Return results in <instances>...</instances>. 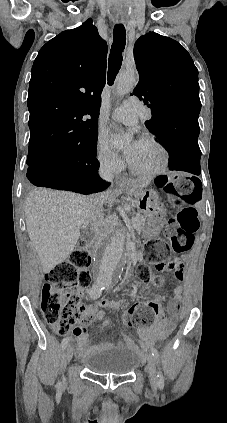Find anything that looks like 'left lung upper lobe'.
<instances>
[{
  "label": "left lung upper lobe",
  "mask_w": 227,
  "mask_h": 423,
  "mask_svg": "<svg viewBox=\"0 0 227 423\" xmlns=\"http://www.w3.org/2000/svg\"><path fill=\"white\" fill-rule=\"evenodd\" d=\"M134 58L139 83L132 95L151 108L152 119L145 122L149 131L160 139L198 128V70L185 48L149 32L136 41Z\"/></svg>",
  "instance_id": "left-lung-upper-lobe-1"
}]
</instances>
